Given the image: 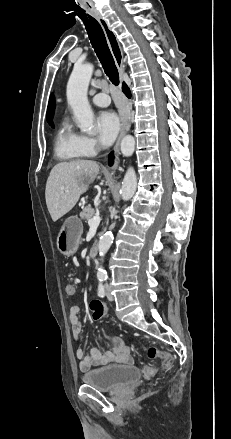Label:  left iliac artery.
<instances>
[{
	"mask_svg": "<svg viewBox=\"0 0 231 439\" xmlns=\"http://www.w3.org/2000/svg\"><path fill=\"white\" fill-rule=\"evenodd\" d=\"M102 281H105L106 280V277H101L100 278Z\"/></svg>",
	"mask_w": 231,
	"mask_h": 439,
	"instance_id": "obj_1",
	"label": "left iliac artery"
}]
</instances>
